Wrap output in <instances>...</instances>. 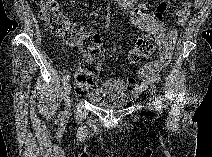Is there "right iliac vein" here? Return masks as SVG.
<instances>
[{"label": "right iliac vein", "mask_w": 212, "mask_h": 157, "mask_svg": "<svg viewBox=\"0 0 212 157\" xmlns=\"http://www.w3.org/2000/svg\"><path fill=\"white\" fill-rule=\"evenodd\" d=\"M70 84L67 82L64 84V101H65V105L67 110H69L70 108Z\"/></svg>", "instance_id": "63e3f726"}]
</instances>
